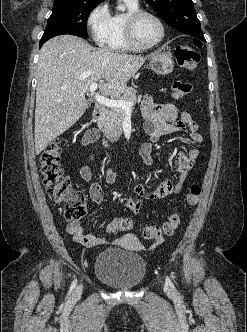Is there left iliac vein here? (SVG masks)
I'll return each mask as SVG.
<instances>
[{
	"mask_svg": "<svg viewBox=\"0 0 247 332\" xmlns=\"http://www.w3.org/2000/svg\"><path fill=\"white\" fill-rule=\"evenodd\" d=\"M166 290H167V292L169 293V294H173V291H172V289L170 288V287H166Z\"/></svg>",
	"mask_w": 247,
	"mask_h": 332,
	"instance_id": "4c4485c4",
	"label": "left iliac vein"
}]
</instances>
